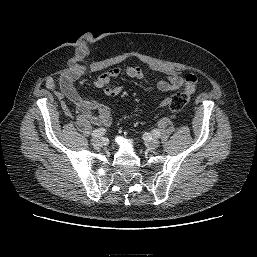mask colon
Masks as SVG:
<instances>
[{"label":"colon","instance_id":"5ec220e1","mask_svg":"<svg viewBox=\"0 0 257 257\" xmlns=\"http://www.w3.org/2000/svg\"><path fill=\"white\" fill-rule=\"evenodd\" d=\"M191 92L183 91L175 93L169 100V108L172 111L183 109L191 98Z\"/></svg>","mask_w":257,"mask_h":257}]
</instances>
